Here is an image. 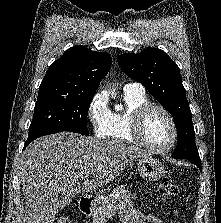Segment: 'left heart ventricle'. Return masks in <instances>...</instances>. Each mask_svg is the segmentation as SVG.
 I'll list each match as a JSON object with an SVG mask.
<instances>
[{"label": "left heart ventricle", "instance_id": "1", "mask_svg": "<svg viewBox=\"0 0 221 223\" xmlns=\"http://www.w3.org/2000/svg\"><path fill=\"white\" fill-rule=\"evenodd\" d=\"M143 136L152 145H167L172 138V128L166 115L159 110L151 111L144 122Z\"/></svg>", "mask_w": 221, "mask_h": 223}]
</instances>
